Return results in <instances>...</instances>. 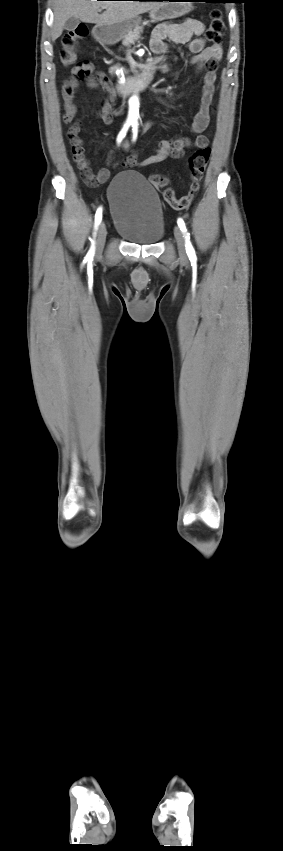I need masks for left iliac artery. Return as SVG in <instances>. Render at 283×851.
<instances>
[{
  "label": "left iliac artery",
  "instance_id": "1",
  "mask_svg": "<svg viewBox=\"0 0 283 851\" xmlns=\"http://www.w3.org/2000/svg\"><path fill=\"white\" fill-rule=\"evenodd\" d=\"M136 137H137V125H134L133 126V141L136 140ZM177 223H178V226L180 227L181 231L185 235V239H186V245L185 246H186L187 255L189 256L190 259L195 258V251H194V248L192 247V245L190 243V240H189L190 238L188 236L187 229H186V226H185L183 219L179 218Z\"/></svg>",
  "mask_w": 283,
  "mask_h": 851
}]
</instances>
